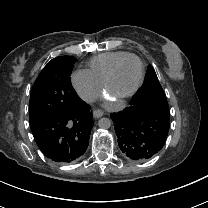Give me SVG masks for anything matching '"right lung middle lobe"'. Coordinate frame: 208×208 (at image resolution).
<instances>
[{"mask_svg":"<svg viewBox=\"0 0 208 208\" xmlns=\"http://www.w3.org/2000/svg\"><path fill=\"white\" fill-rule=\"evenodd\" d=\"M74 63V57L59 56L43 68L31 91L30 123L76 110L80 98L70 80Z\"/></svg>","mask_w":208,"mask_h":208,"instance_id":"right-lung-middle-lobe-1","label":"right lung middle lobe"}]
</instances>
